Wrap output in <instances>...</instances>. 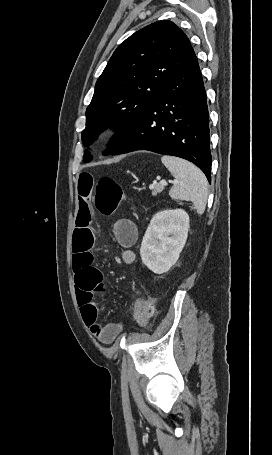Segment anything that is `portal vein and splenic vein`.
<instances>
[{
  "instance_id": "18ae733b",
  "label": "portal vein and splenic vein",
  "mask_w": 272,
  "mask_h": 455,
  "mask_svg": "<svg viewBox=\"0 0 272 455\" xmlns=\"http://www.w3.org/2000/svg\"><path fill=\"white\" fill-rule=\"evenodd\" d=\"M176 183H177L176 181H173V182H172V184H176ZM160 184H161L162 186H167V182H166L165 180H161V181H160Z\"/></svg>"
}]
</instances>
